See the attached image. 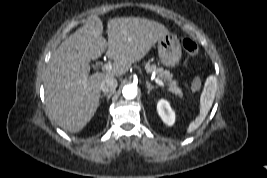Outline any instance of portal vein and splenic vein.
Masks as SVG:
<instances>
[{
	"instance_id": "1",
	"label": "portal vein and splenic vein",
	"mask_w": 267,
	"mask_h": 178,
	"mask_svg": "<svg viewBox=\"0 0 267 178\" xmlns=\"http://www.w3.org/2000/svg\"><path fill=\"white\" fill-rule=\"evenodd\" d=\"M112 69H113V66H112L111 63H107V64H105V65L102 66V70H103V71H108V72H109V71H111ZM155 82H156L158 85L162 86V87L165 86L164 83H163V81L160 80L159 78H155Z\"/></svg>"
}]
</instances>
